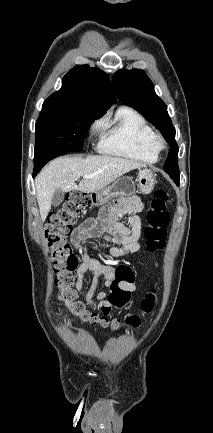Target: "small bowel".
Returning a JSON list of instances; mask_svg holds the SVG:
<instances>
[{
	"instance_id": "1",
	"label": "small bowel",
	"mask_w": 213,
	"mask_h": 433,
	"mask_svg": "<svg viewBox=\"0 0 213 433\" xmlns=\"http://www.w3.org/2000/svg\"><path fill=\"white\" fill-rule=\"evenodd\" d=\"M142 210L143 204L138 197L119 199L100 217L86 219L70 235L71 243L77 250L74 287L77 291L82 290L85 274L90 272L92 279L86 302L103 314L109 315L113 305L107 299L108 292L97 290L101 283L111 290L116 269L110 262H102L92 256L89 243L96 239L112 242L113 245L108 248V255L112 258L138 252L141 248L139 240L142 225L139 214ZM125 287L130 292L137 290L134 282Z\"/></svg>"
}]
</instances>
